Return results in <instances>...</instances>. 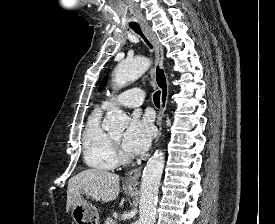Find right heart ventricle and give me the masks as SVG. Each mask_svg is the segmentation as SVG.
<instances>
[{"mask_svg": "<svg viewBox=\"0 0 275 224\" xmlns=\"http://www.w3.org/2000/svg\"><path fill=\"white\" fill-rule=\"evenodd\" d=\"M104 108L98 107L89 115L83 131V157L85 163L97 170H113L118 162L110 141V135L102 128Z\"/></svg>", "mask_w": 275, "mask_h": 224, "instance_id": "e07e8e85", "label": "right heart ventricle"}]
</instances>
